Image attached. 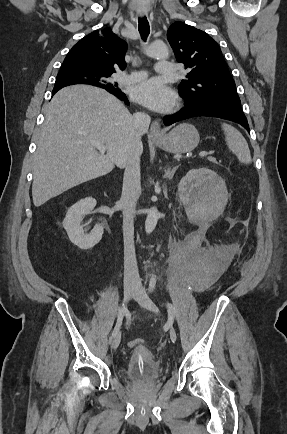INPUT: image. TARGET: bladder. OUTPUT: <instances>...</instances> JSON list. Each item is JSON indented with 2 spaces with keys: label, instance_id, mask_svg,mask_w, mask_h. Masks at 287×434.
Returning a JSON list of instances; mask_svg holds the SVG:
<instances>
[{
  "label": "bladder",
  "instance_id": "1",
  "mask_svg": "<svg viewBox=\"0 0 287 434\" xmlns=\"http://www.w3.org/2000/svg\"><path fill=\"white\" fill-rule=\"evenodd\" d=\"M120 374L129 381H153L160 375V366L150 352H134Z\"/></svg>",
  "mask_w": 287,
  "mask_h": 434
}]
</instances>
